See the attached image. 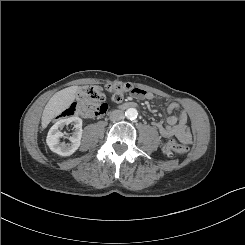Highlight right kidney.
<instances>
[{"instance_id": "ca27d5eb", "label": "right kidney", "mask_w": 245, "mask_h": 245, "mask_svg": "<svg viewBox=\"0 0 245 245\" xmlns=\"http://www.w3.org/2000/svg\"><path fill=\"white\" fill-rule=\"evenodd\" d=\"M74 125V132L69 137L70 143L65 144L60 142V138L64 136L62 129L65 125ZM82 137V119L79 117H69L56 122L49 130L47 135V145L54 153L60 156L72 155L80 146Z\"/></svg>"}]
</instances>
